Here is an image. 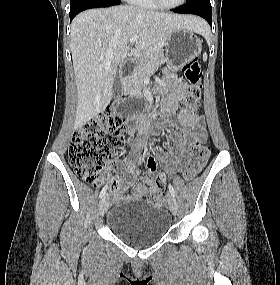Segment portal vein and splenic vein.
Listing matches in <instances>:
<instances>
[{
    "label": "portal vein and splenic vein",
    "mask_w": 280,
    "mask_h": 285,
    "mask_svg": "<svg viewBox=\"0 0 280 285\" xmlns=\"http://www.w3.org/2000/svg\"><path fill=\"white\" fill-rule=\"evenodd\" d=\"M137 41H138V37H132V38L129 39V43L130 44H134Z\"/></svg>",
    "instance_id": "obj_1"
}]
</instances>
